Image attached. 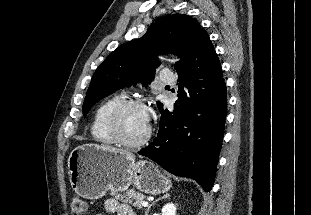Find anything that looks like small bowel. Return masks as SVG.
<instances>
[{"instance_id":"1","label":"small bowel","mask_w":311,"mask_h":215,"mask_svg":"<svg viewBox=\"0 0 311 215\" xmlns=\"http://www.w3.org/2000/svg\"><path fill=\"white\" fill-rule=\"evenodd\" d=\"M135 215L133 209L126 204H121L115 199H108L105 202L104 213H97L96 215Z\"/></svg>"}]
</instances>
